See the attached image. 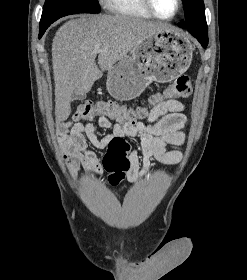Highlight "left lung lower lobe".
<instances>
[{"instance_id": "0a47b994", "label": "left lung lower lobe", "mask_w": 247, "mask_h": 280, "mask_svg": "<svg viewBox=\"0 0 247 280\" xmlns=\"http://www.w3.org/2000/svg\"><path fill=\"white\" fill-rule=\"evenodd\" d=\"M179 27L184 28L180 23L178 24ZM194 37H196L198 39V41L201 43L203 48L207 47L208 44V37L207 36H203L197 32H195L194 30H188Z\"/></svg>"}]
</instances>
